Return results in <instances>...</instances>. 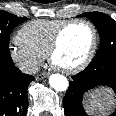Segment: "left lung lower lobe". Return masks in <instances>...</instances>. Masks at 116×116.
Listing matches in <instances>:
<instances>
[{
	"label": "left lung lower lobe",
	"mask_w": 116,
	"mask_h": 116,
	"mask_svg": "<svg viewBox=\"0 0 116 116\" xmlns=\"http://www.w3.org/2000/svg\"><path fill=\"white\" fill-rule=\"evenodd\" d=\"M101 86L111 88L116 94V57L93 59L83 71L72 76L63 99L65 116H89L83 108V98ZM110 116H116V110Z\"/></svg>",
	"instance_id": "0a47b994"
}]
</instances>
